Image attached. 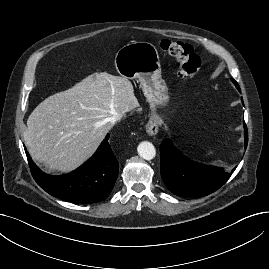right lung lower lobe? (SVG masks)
<instances>
[{
    "label": "right lung lower lobe",
    "instance_id": "right-lung-lower-lobe-1",
    "mask_svg": "<svg viewBox=\"0 0 269 269\" xmlns=\"http://www.w3.org/2000/svg\"><path fill=\"white\" fill-rule=\"evenodd\" d=\"M105 137L95 154L75 171L50 176L33 162L26 148L28 163L37 184L46 192L61 200L73 203H94L105 200L118 176L119 164Z\"/></svg>",
    "mask_w": 269,
    "mask_h": 269
}]
</instances>
